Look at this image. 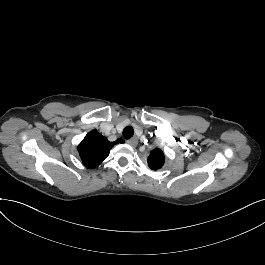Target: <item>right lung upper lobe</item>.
<instances>
[{"instance_id": "obj_1", "label": "right lung upper lobe", "mask_w": 265, "mask_h": 265, "mask_svg": "<svg viewBox=\"0 0 265 265\" xmlns=\"http://www.w3.org/2000/svg\"><path fill=\"white\" fill-rule=\"evenodd\" d=\"M122 139L109 142L96 130L89 132L78 146L79 155L87 168L99 165L110 153L111 148L117 143H123Z\"/></svg>"}]
</instances>
